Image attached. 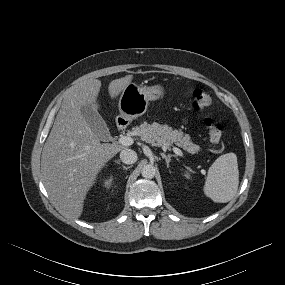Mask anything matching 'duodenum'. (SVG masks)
Wrapping results in <instances>:
<instances>
[{
    "label": "duodenum",
    "mask_w": 285,
    "mask_h": 285,
    "mask_svg": "<svg viewBox=\"0 0 285 285\" xmlns=\"http://www.w3.org/2000/svg\"><path fill=\"white\" fill-rule=\"evenodd\" d=\"M124 128V123L122 121L118 122V129L122 130Z\"/></svg>",
    "instance_id": "obj_1"
}]
</instances>
